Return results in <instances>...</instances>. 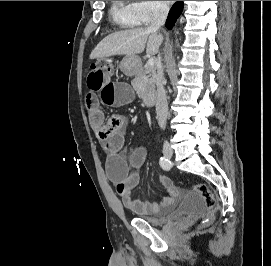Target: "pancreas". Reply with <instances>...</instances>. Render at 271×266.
<instances>
[{"mask_svg": "<svg viewBox=\"0 0 271 266\" xmlns=\"http://www.w3.org/2000/svg\"><path fill=\"white\" fill-rule=\"evenodd\" d=\"M155 82V68L146 64L143 68V71L135 76L131 84L137 92L138 96L142 97L147 90L154 88Z\"/></svg>", "mask_w": 271, "mask_h": 266, "instance_id": "pancreas-1", "label": "pancreas"}]
</instances>
